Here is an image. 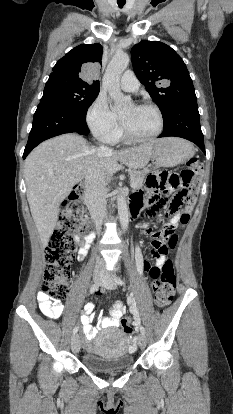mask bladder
<instances>
[{
    "label": "bladder",
    "instance_id": "1",
    "mask_svg": "<svg viewBox=\"0 0 233 414\" xmlns=\"http://www.w3.org/2000/svg\"><path fill=\"white\" fill-rule=\"evenodd\" d=\"M133 355L129 352L128 339L117 328L99 333L92 349L82 356V363L88 369L97 372H110L132 366Z\"/></svg>",
    "mask_w": 233,
    "mask_h": 414
}]
</instances>
